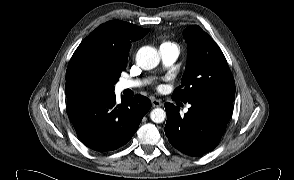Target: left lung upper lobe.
<instances>
[{"mask_svg": "<svg viewBox=\"0 0 294 180\" xmlns=\"http://www.w3.org/2000/svg\"><path fill=\"white\" fill-rule=\"evenodd\" d=\"M188 42V59L181 85L173 93L174 100L224 101L235 98V82L219 46L199 26L191 25L184 32Z\"/></svg>", "mask_w": 294, "mask_h": 180, "instance_id": "left-lung-upper-lobe-1", "label": "left lung upper lobe"}]
</instances>
